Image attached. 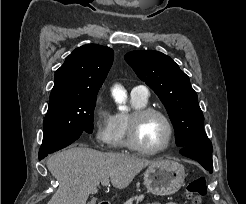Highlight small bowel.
<instances>
[{"label":"small bowel","instance_id":"c3829d8e","mask_svg":"<svg viewBox=\"0 0 246 204\" xmlns=\"http://www.w3.org/2000/svg\"><path fill=\"white\" fill-rule=\"evenodd\" d=\"M147 204H160V203H147ZM167 204H178V203L170 202V203H167Z\"/></svg>","mask_w":246,"mask_h":204}]
</instances>
